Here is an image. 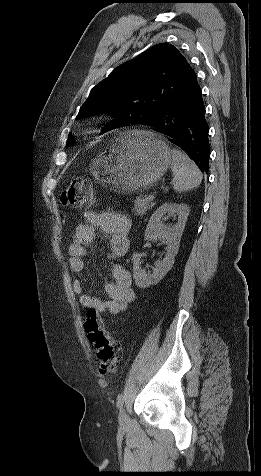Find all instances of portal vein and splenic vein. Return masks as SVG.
Returning <instances> with one entry per match:
<instances>
[{
	"instance_id": "portal-vein-and-splenic-vein-1",
	"label": "portal vein and splenic vein",
	"mask_w": 261,
	"mask_h": 476,
	"mask_svg": "<svg viewBox=\"0 0 261 476\" xmlns=\"http://www.w3.org/2000/svg\"><path fill=\"white\" fill-rule=\"evenodd\" d=\"M154 198H155L154 194H150V195L148 196V199L151 200V201H153Z\"/></svg>"
}]
</instances>
